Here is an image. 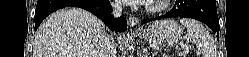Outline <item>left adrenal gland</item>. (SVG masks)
I'll use <instances>...</instances> for the list:
<instances>
[{
	"mask_svg": "<svg viewBox=\"0 0 249 57\" xmlns=\"http://www.w3.org/2000/svg\"><path fill=\"white\" fill-rule=\"evenodd\" d=\"M156 53H153L150 57H154ZM142 57H149V54H147V49H143V56Z\"/></svg>",
	"mask_w": 249,
	"mask_h": 57,
	"instance_id": "left-adrenal-gland-1",
	"label": "left adrenal gland"
}]
</instances>
